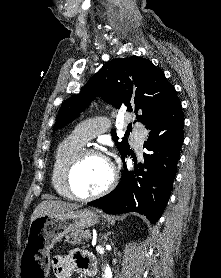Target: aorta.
<instances>
[{
    "label": "aorta",
    "mask_w": 221,
    "mask_h": 278,
    "mask_svg": "<svg viewBox=\"0 0 221 278\" xmlns=\"http://www.w3.org/2000/svg\"><path fill=\"white\" fill-rule=\"evenodd\" d=\"M104 278H112V272L108 265L105 267L104 270Z\"/></svg>",
    "instance_id": "762f6f07"
}]
</instances>
